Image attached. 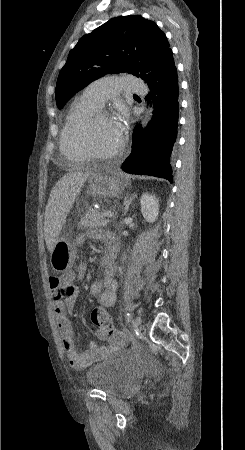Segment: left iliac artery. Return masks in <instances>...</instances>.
<instances>
[{
	"mask_svg": "<svg viewBox=\"0 0 245 450\" xmlns=\"http://www.w3.org/2000/svg\"><path fill=\"white\" fill-rule=\"evenodd\" d=\"M128 322H132V317L129 313L126 314Z\"/></svg>",
	"mask_w": 245,
	"mask_h": 450,
	"instance_id": "obj_1",
	"label": "left iliac artery"
}]
</instances>
